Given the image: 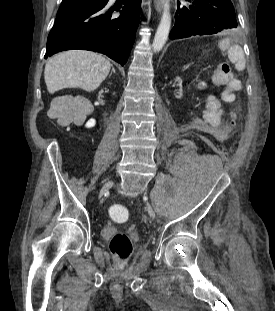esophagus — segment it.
<instances>
[{"label":"esophagus","mask_w":275,"mask_h":311,"mask_svg":"<svg viewBox=\"0 0 275 311\" xmlns=\"http://www.w3.org/2000/svg\"><path fill=\"white\" fill-rule=\"evenodd\" d=\"M154 4H155L156 11L160 13L162 10V6H163V0H155Z\"/></svg>","instance_id":"obj_1"}]
</instances>
